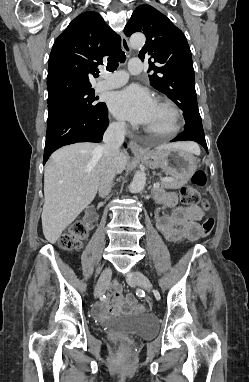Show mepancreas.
Instances as JSON below:
<instances>
[{
    "label": "pancreas",
    "mask_w": 249,
    "mask_h": 382,
    "mask_svg": "<svg viewBox=\"0 0 249 382\" xmlns=\"http://www.w3.org/2000/svg\"><path fill=\"white\" fill-rule=\"evenodd\" d=\"M187 183L184 178L172 177L171 180L161 181V187L158 189L160 191L164 189H179Z\"/></svg>",
    "instance_id": "obj_1"
}]
</instances>
